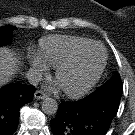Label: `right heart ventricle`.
I'll list each match as a JSON object with an SVG mask.
<instances>
[{"label":"right heart ventricle","mask_w":135,"mask_h":135,"mask_svg":"<svg viewBox=\"0 0 135 135\" xmlns=\"http://www.w3.org/2000/svg\"><path fill=\"white\" fill-rule=\"evenodd\" d=\"M92 42L89 39L75 36H47L40 40L38 53L45 62L57 66L78 49Z\"/></svg>","instance_id":"right-heart-ventricle-1"}]
</instances>
